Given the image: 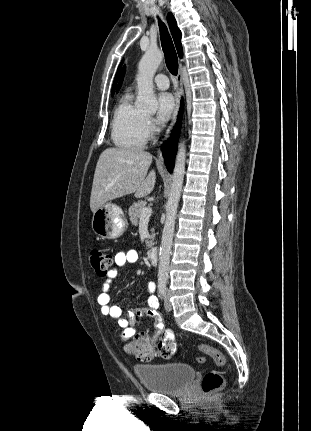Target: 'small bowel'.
<instances>
[{
	"mask_svg": "<svg viewBox=\"0 0 311 431\" xmlns=\"http://www.w3.org/2000/svg\"><path fill=\"white\" fill-rule=\"evenodd\" d=\"M139 261V254L136 250L130 249L127 251H120L114 257V266L107 273L106 283L101 288L97 296V303L100 306V311L103 315L110 316L118 320V325L123 328L122 339L126 340L135 334L134 326L140 323L142 317L153 319L156 330L161 332L164 328L163 320L158 312L159 300L153 294L155 291V284L149 282L147 290L150 293L143 307H139L124 313L119 306L110 304V295L108 293V286L118 276L120 269L126 265L136 264ZM148 338L146 334H141ZM165 337L173 339V333L170 330L165 331Z\"/></svg>",
	"mask_w": 311,
	"mask_h": 431,
	"instance_id": "small-bowel-1",
	"label": "small bowel"
}]
</instances>
